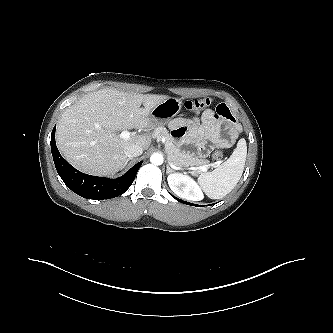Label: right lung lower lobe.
<instances>
[{"mask_svg":"<svg viewBox=\"0 0 333 333\" xmlns=\"http://www.w3.org/2000/svg\"><path fill=\"white\" fill-rule=\"evenodd\" d=\"M55 128L50 142L53 160L61 179L73 192L87 199L103 200L117 197L128 190L142 162L117 179L84 174L72 167L59 153L55 143Z\"/></svg>","mask_w":333,"mask_h":333,"instance_id":"obj_1","label":"right lung lower lobe"}]
</instances>
